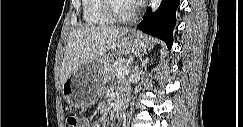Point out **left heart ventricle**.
<instances>
[{
    "label": "left heart ventricle",
    "mask_w": 243,
    "mask_h": 127,
    "mask_svg": "<svg viewBox=\"0 0 243 127\" xmlns=\"http://www.w3.org/2000/svg\"><path fill=\"white\" fill-rule=\"evenodd\" d=\"M115 7L116 11L123 15L128 14L132 9L131 2L127 0H116Z\"/></svg>",
    "instance_id": "b2bd125f"
}]
</instances>
